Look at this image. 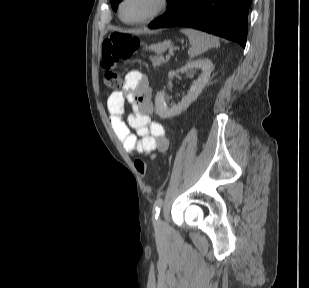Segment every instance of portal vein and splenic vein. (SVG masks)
<instances>
[{"label": "portal vein and splenic vein", "mask_w": 309, "mask_h": 288, "mask_svg": "<svg viewBox=\"0 0 309 288\" xmlns=\"http://www.w3.org/2000/svg\"><path fill=\"white\" fill-rule=\"evenodd\" d=\"M170 57H171V55H170V54H167V55H166V59H167V60H169V59H170Z\"/></svg>", "instance_id": "obj_1"}]
</instances>
